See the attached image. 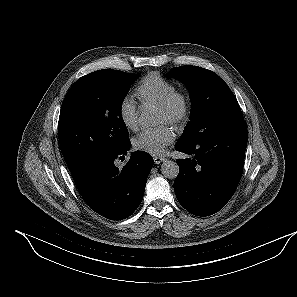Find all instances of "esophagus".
I'll list each match as a JSON object with an SVG mask.
<instances>
[{
    "label": "esophagus",
    "instance_id": "obj_1",
    "mask_svg": "<svg viewBox=\"0 0 297 297\" xmlns=\"http://www.w3.org/2000/svg\"><path fill=\"white\" fill-rule=\"evenodd\" d=\"M153 159H154V163L157 165L162 163L165 160L164 157H154Z\"/></svg>",
    "mask_w": 297,
    "mask_h": 297
}]
</instances>
